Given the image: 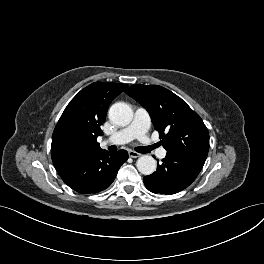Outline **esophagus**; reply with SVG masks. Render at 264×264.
<instances>
[{"label": "esophagus", "instance_id": "34e87169", "mask_svg": "<svg viewBox=\"0 0 264 264\" xmlns=\"http://www.w3.org/2000/svg\"><path fill=\"white\" fill-rule=\"evenodd\" d=\"M128 154H129V156L130 157H132V158H138V157H140V153H137V152H135V151H132V150H130L129 152H128Z\"/></svg>", "mask_w": 264, "mask_h": 264}]
</instances>
